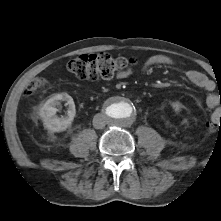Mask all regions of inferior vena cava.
<instances>
[{
  "label": "inferior vena cava",
  "instance_id": "inferior-vena-cava-1",
  "mask_svg": "<svg viewBox=\"0 0 221 221\" xmlns=\"http://www.w3.org/2000/svg\"><path fill=\"white\" fill-rule=\"evenodd\" d=\"M106 125V116L103 114H96L93 118V126L95 129H102Z\"/></svg>",
  "mask_w": 221,
  "mask_h": 221
}]
</instances>
